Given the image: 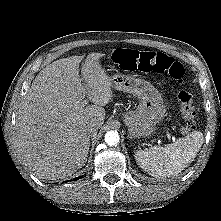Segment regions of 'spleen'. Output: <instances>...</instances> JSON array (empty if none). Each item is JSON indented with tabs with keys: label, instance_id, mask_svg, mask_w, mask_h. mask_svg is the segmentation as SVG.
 I'll return each instance as SVG.
<instances>
[{
	"label": "spleen",
	"instance_id": "1",
	"mask_svg": "<svg viewBox=\"0 0 221 221\" xmlns=\"http://www.w3.org/2000/svg\"><path fill=\"white\" fill-rule=\"evenodd\" d=\"M203 143V134L194 131L164 147L137 150L138 165L151 176L164 178L183 171L196 157Z\"/></svg>",
	"mask_w": 221,
	"mask_h": 221
}]
</instances>
